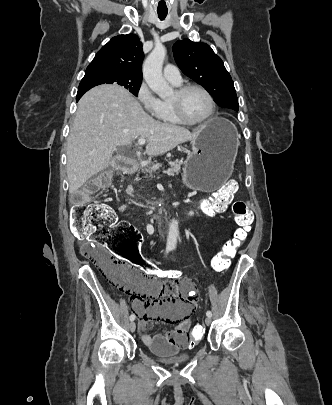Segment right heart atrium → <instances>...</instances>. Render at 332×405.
<instances>
[{
	"mask_svg": "<svg viewBox=\"0 0 332 405\" xmlns=\"http://www.w3.org/2000/svg\"><path fill=\"white\" fill-rule=\"evenodd\" d=\"M136 97L144 110L153 117H158L161 111V101L154 95L149 86L143 82L140 84Z\"/></svg>",
	"mask_w": 332,
	"mask_h": 405,
	"instance_id": "d8ad5b80",
	"label": "right heart atrium"
}]
</instances>
